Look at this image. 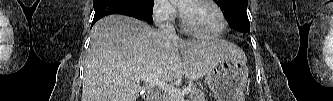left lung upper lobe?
Masks as SVG:
<instances>
[{"mask_svg": "<svg viewBox=\"0 0 333 101\" xmlns=\"http://www.w3.org/2000/svg\"><path fill=\"white\" fill-rule=\"evenodd\" d=\"M225 12L230 26L240 32L250 31V24L246 12L247 0H214Z\"/></svg>", "mask_w": 333, "mask_h": 101, "instance_id": "obj_1", "label": "left lung upper lobe"}]
</instances>
